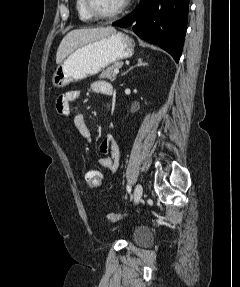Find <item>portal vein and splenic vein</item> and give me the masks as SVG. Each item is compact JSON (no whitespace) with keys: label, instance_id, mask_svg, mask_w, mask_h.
Instances as JSON below:
<instances>
[{"label":"portal vein and splenic vein","instance_id":"18ae733b","mask_svg":"<svg viewBox=\"0 0 240 287\" xmlns=\"http://www.w3.org/2000/svg\"><path fill=\"white\" fill-rule=\"evenodd\" d=\"M114 72L117 74L119 73V69H115Z\"/></svg>","mask_w":240,"mask_h":287}]
</instances>
